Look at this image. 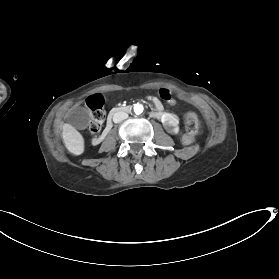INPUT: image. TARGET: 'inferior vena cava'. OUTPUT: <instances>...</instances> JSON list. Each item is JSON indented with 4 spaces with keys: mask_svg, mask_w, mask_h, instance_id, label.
<instances>
[{
    "mask_svg": "<svg viewBox=\"0 0 279 279\" xmlns=\"http://www.w3.org/2000/svg\"><path fill=\"white\" fill-rule=\"evenodd\" d=\"M126 118H128V114L123 111L122 112L118 111L117 113H114V115H113V121L115 123H120L122 120H124Z\"/></svg>",
    "mask_w": 279,
    "mask_h": 279,
    "instance_id": "1",
    "label": "inferior vena cava"
}]
</instances>
